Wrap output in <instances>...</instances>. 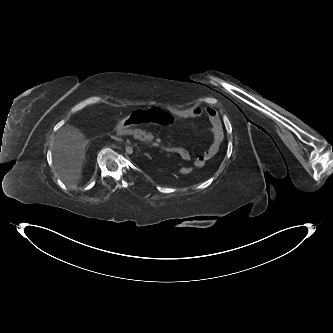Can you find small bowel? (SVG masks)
Listing matches in <instances>:
<instances>
[{
  "label": "small bowel",
  "mask_w": 333,
  "mask_h": 333,
  "mask_svg": "<svg viewBox=\"0 0 333 333\" xmlns=\"http://www.w3.org/2000/svg\"><path fill=\"white\" fill-rule=\"evenodd\" d=\"M176 115L177 119H190L200 116H206L211 123V133L213 136V142L209 148L200 156L194 160V165L198 168H202L205 163L212 159L220 149V145L223 140V132L221 121L218 113L213 108H190L179 112ZM171 151L177 154L182 160L189 161L191 156L187 149L183 147H172Z\"/></svg>",
  "instance_id": "small-bowel-1"
}]
</instances>
